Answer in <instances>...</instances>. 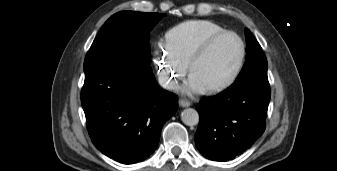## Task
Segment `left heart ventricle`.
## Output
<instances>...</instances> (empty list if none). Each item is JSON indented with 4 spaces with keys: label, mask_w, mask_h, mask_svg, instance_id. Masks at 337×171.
I'll list each match as a JSON object with an SVG mask.
<instances>
[{
    "label": "left heart ventricle",
    "mask_w": 337,
    "mask_h": 171,
    "mask_svg": "<svg viewBox=\"0 0 337 171\" xmlns=\"http://www.w3.org/2000/svg\"><path fill=\"white\" fill-rule=\"evenodd\" d=\"M241 53L240 44L233 36L217 41L194 65L192 75L206 88L224 81L233 71Z\"/></svg>",
    "instance_id": "obj_1"
}]
</instances>
